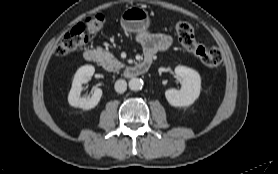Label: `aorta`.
<instances>
[{
	"mask_svg": "<svg viewBox=\"0 0 278 174\" xmlns=\"http://www.w3.org/2000/svg\"><path fill=\"white\" fill-rule=\"evenodd\" d=\"M143 80L142 79H139V78H132L130 79L129 81V88L132 90V91H139L143 88Z\"/></svg>",
	"mask_w": 278,
	"mask_h": 174,
	"instance_id": "aorta-1",
	"label": "aorta"
}]
</instances>
